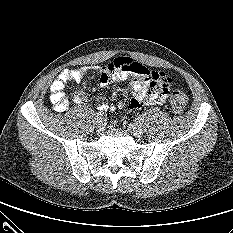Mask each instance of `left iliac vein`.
<instances>
[{"label":"left iliac vein","instance_id":"obj_1","mask_svg":"<svg viewBox=\"0 0 233 233\" xmlns=\"http://www.w3.org/2000/svg\"><path fill=\"white\" fill-rule=\"evenodd\" d=\"M129 131L135 136V137H141L143 135V129L142 127L135 123L129 125Z\"/></svg>","mask_w":233,"mask_h":233}]
</instances>
